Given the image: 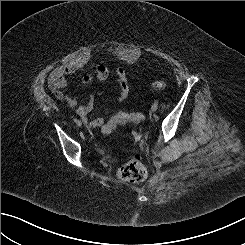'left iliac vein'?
I'll return each mask as SVG.
<instances>
[{
  "instance_id": "1",
  "label": "left iliac vein",
  "mask_w": 245,
  "mask_h": 245,
  "mask_svg": "<svg viewBox=\"0 0 245 245\" xmlns=\"http://www.w3.org/2000/svg\"><path fill=\"white\" fill-rule=\"evenodd\" d=\"M157 109H158V105L153 104V105L151 106V110H152V111H156Z\"/></svg>"
}]
</instances>
